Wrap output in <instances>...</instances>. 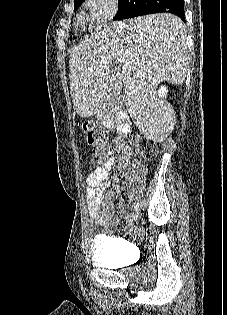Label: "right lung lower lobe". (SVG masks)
I'll list each match as a JSON object with an SVG mask.
<instances>
[{"mask_svg":"<svg viewBox=\"0 0 227 315\" xmlns=\"http://www.w3.org/2000/svg\"><path fill=\"white\" fill-rule=\"evenodd\" d=\"M172 13L185 22L184 0H141L118 9L115 20H123L154 13Z\"/></svg>","mask_w":227,"mask_h":315,"instance_id":"right-lung-lower-lobe-1","label":"right lung lower lobe"}]
</instances>
